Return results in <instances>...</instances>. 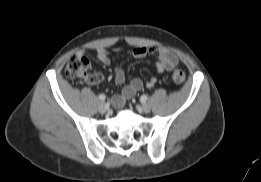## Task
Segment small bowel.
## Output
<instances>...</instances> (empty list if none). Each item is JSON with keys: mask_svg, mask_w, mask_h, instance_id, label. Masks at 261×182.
I'll list each match as a JSON object with an SVG mask.
<instances>
[{"mask_svg": "<svg viewBox=\"0 0 261 182\" xmlns=\"http://www.w3.org/2000/svg\"><path fill=\"white\" fill-rule=\"evenodd\" d=\"M116 52H120V49H115ZM98 59L105 65L111 63V57L109 52L104 48H98L96 50ZM86 50H81L77 53V56L84 57ZM147 55H156L157 61L155 63L156 72L158 75L171 71L178 64V58L165 47H136L130 52V56L136 59L146 57ZM157 76L151 77L146 86L152 88L157 82ZM103 80V76L99 73H95L88 80L89 83L98 84ZM114 81L117 85H122L125 82V72L123 68L117 66L114 69ZM143 81L136 77L133 78L129 84L123 87L122 91L113 96L112 102L116 107L123 106L124 102L134 96L138 91L143 88Z\"/></svg>", "mask_w": 261, "mask_h": 182, "instance_id": "obj_1", "label": "small bowel"}]
</instances>
